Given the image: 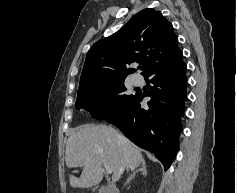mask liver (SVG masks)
<instances>
[{"mask_svg": "<svg viewBox=\"0 0 237 193\" xmlns=\"http://www.w3.org/2000/svg\"><path fill=\"white\" fill-rule=\"evenodd\" d=\"M107 125L84 124L69 136L65 161L68 168H83L79 178L69 176L74 188H89L103 178L102 165L106 163L113 170L115 183L124 170H134L144 162L140 149Z\"/></svg>", "mask_w": 237, "mask_h": 193, "instance_id": "liver-1", "label": "liver"}]
</instances>
